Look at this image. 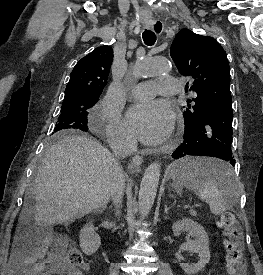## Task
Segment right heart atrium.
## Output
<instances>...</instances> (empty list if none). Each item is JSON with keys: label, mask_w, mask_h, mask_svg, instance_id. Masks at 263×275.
<instances>
[{"label": "right heart atrium", "mask_w": 263, "mask_h": 275, "mask_svg": "<svg viewBox=\"0 0 263 275\" xmlns=\"http://www.w3.org/2000/svg\"><path fill=\"white\" fill-rule=\"evenodd\" d=\"M97 123L111 141L126 146L133 143L130 132L120 121L117 110L110 104L108 98H105L101 104Z\"/></svg>", "instance_id": "right-heart-atrium-1"}]
</instances>
